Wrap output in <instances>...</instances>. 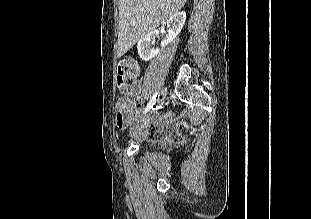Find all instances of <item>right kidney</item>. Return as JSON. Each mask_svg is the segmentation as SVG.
Listing matches in <instances>:
<instances>
[{
  "instance_id": "right-kidney-1",
  "label": "right kidney",
  "mask_w": 311,
  "mask_h": 219,
  "mask_svg": "<svg viewBox=\"0 0 311 219\" xmlns=\"http://www.w3.org/2000/svg\"><path fill=\"white\" fill-rule=\"evenodd\" d=\"M185 21H186V12L184 11L178 12L177 14L169 18V20L167 21V25L169 27L168 35L166 36V39L162 42V48L167 46L177 37V35L181 32ZM157 34L158 31L155 30L148 33L139 40L137 44V49L139 57L143 61H149L159 53L158 49H153L151 47Z\"/></svg>"
}]
</instances>
